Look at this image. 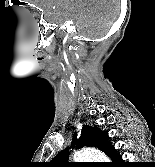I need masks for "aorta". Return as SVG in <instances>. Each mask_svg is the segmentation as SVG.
<instances>
[{"instance_id": "obj_1", "label": "aorta", "mask_w": 155, "mask_h": 167, "mask_svg": "<svg viewBox=\"0 0 155 167\" xmlns=\"http://www.w3.org/2000/svg\"><path fill=\"white\" fill-rule=\"evenodd\" d=\"M75 162H106L107 157L96 149L86 148L77 151L73 155Z\"/></svg>"}]
</instances>
